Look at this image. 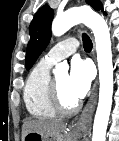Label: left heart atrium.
<instances>
[{
    "mask_svg": "<svg viewBox=\"0 0 119 141\" xmlns=\"http://www.w3.org/2000/svg\"><path fill=\"white\" fill-rule=\"evenodd\" d=\"M92 68L82 59L76 58L71 62L67 88L69 93L78 101L85 97L92 81Z\"/></svg>",
    "mask_w": 119,
    "mask_h": 141,
    "instance_id": "obj_1",
    "label": "left heart atrium"
}]
</instances>
